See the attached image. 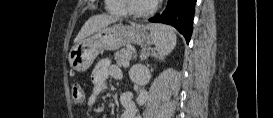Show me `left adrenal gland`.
Instances as JSON below:
<instances>
[{
    "label": "left adrenal gland",
    "instance_id": "obj_1",
    "mask_svg": "<svg viewBox=\"0 0 273 118\" xmlns=\"http://www.w3.org/2000/svg\"><path fill=\"white\" fill-rule=\"evenodd\" d=\"M149 56L158 58V54L154 50L150 51L149 49H146V48L141 50V52H140V60L141 61L146 60Z\"/></svg>",
    "mask_w": 273,
    "mask_h": 118
}]
</instances>
